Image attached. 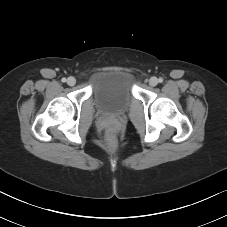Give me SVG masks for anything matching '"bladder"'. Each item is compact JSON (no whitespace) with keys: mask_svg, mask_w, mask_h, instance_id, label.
<instances>
[{"mask_svg":"<svg viewBox=\"0 0 227 227\" xmlns=\"http://www.w3.org/2000/svg\"><path fill=\"white\" fill-rule=\"evenodd\" d=\"M93 102L103 114H120L131 105L133 77L124 70L96 72L90 81Z\"/></svg>","mask_w":227,"mask_h":227,"instance_id":"1","label":"bladder"}]
</instances>
